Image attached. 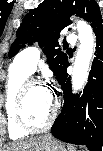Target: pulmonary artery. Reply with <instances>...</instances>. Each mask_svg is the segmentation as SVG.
Returning a JSON list of instances; mask_svg holds the SVG:
<instances>
[{"label":"pulmonary artery","mask_w":103,"mask_h":151,"mask_svg":"<svg viewBox=\"0 0 103 151\" xmlns=\"http://www.w3.org/2000/svg\"><path fill=\"white\" fill-rule=\"evenodd\" d=\"M66 40L67 42L74 44L76 42V36L69 34L67 35ZM40 56V48L37 46H31L21 51L15 58V62L31 74L36 70Z\"/></svg>","instance_id":"obj_1"}]
</instances>
